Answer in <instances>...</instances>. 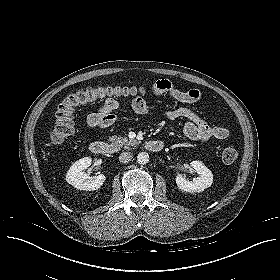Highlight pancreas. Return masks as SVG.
I'll use <instances>...</instances> for the list:
<instances>
[{
    "instance_id": "1",
    "label": "pancreas",
    "mask_w": 280,
    "mask_h": 280,
    "mask_svg": "<svg viewBox=\"0 0 280 280\" xmlns=\"http://www.w3.org/2000/svg\"><path fill=\"white\" fill-rule=\"evenodd\" d=\"M111 145L117 149H120L124 146V148H129V146L137 145L139 142L137 140H131L127 137L113 136L109 138Z\"/></svg>"
}]
</instances>
